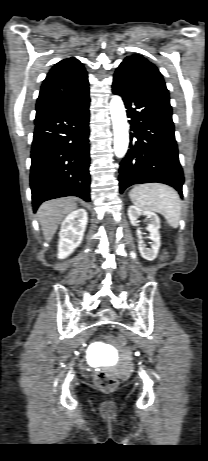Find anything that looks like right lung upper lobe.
Here are the masks:
<instances>
[{
	"instance_id": "cb5924a9",
	"label": "right lung upper lobe",
	"mask_w": 208,
	"mask_h": 461,
	"mask_svg": "<svg viewBox=\"0 0 208 461\" xmlns=\"http://www.w3.org/2000/svg\"><path fill=\"white\" fill-rule=\"evenodd\" d=\"M88 93V75L83 64L74 57L61 60L42 83L36 116L79 102Z\"/></svg>"
}]
</instances>
